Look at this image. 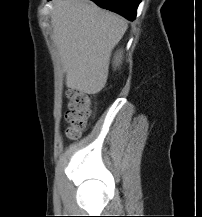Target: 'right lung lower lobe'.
I'll return each instance as SVG.
<instances>
[{
  "instance_id": "98d812e1",
  "label": "right lung lower lobe",
  "mask_w": 202,
  "mask_h": 217,
  "mask_svg": "<svg viewBox=\"0 0 202 217\" xmlns=\"http://www.w3.org/2000/svg\"><path fill=\"white\" fill-rule=\"evenodd\" d=\"M102 8L116 12L130 21L136 17V10L141 0H91Z\"/></svg>"
}]
</instances>
